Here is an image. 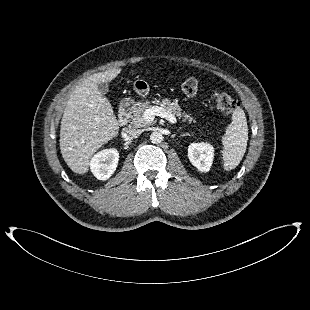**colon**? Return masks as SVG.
I'll return each mask as SVG.
<instances>
[{"label": "colon", "instance_id": "obj_1", "mask_svg": "<svg viewBox=\"0 0 310 310\" xmlns=\"http://www.w3.org/2000/svg\"><path fill=\"white\" fill-rule=\"evenodd\" d=\"M181 90L186 96H194L198 92V82L194 78L186 79L182 85ZM212 100L217 108L223 114H231L238 106L237 101L228 93L213 92Z\"/></svg>", "mask_w": 310, "mask_h": 310}]
</instances>
